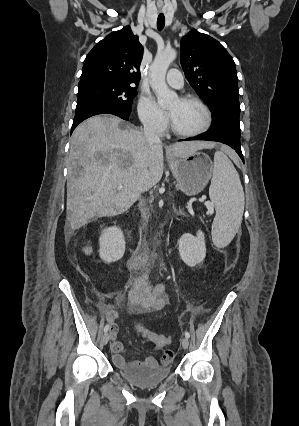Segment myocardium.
I'll use <instances>...</instances> for the list:
<instances>
[{"instance_id":"1","label":"myocardium","mask_w":299,"mask_h":426,"mask_svg":"<svg viewBox=\"0 0 299 426\" xmlns=\"http://www.w3.org/2000/svg\"><path fill=\"white\" fill-rule=\"evenodd\" d=\"M181 101L184 102H193L196 103L203 111L204 113V123L203 125L199 128L196 129L194 131H182L179 130L173 123L172 119L170 120V127L172 132L175 135L181 136V137H196L199 136L203 133H205L206 131H208V129L211 127L212 124V113L209 109V107L207 106V104L199 97L194 96V95H184L182 97H180Z\"/></svg>"}]
</instances>
